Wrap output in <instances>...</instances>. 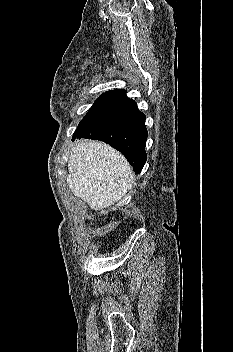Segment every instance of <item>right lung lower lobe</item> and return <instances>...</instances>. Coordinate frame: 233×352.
<instances>
[{
    "instance_id": "obj_1",
    "label": "right lung lower lobe",
    "mask_w": 233,
    "mask_h": 352,
    "mask_svg": "<svg viewBox=\"0 0 233 352\" xmlns=\"http://www.w3.org/2000/svg\"><path fill=\"white\" fill-rule=\"evenodd\" d=\"M80 138L101 140L114 147L126 157L136 174L146 162L145 115L132 99L113 106L73 134V140Z\"/></svg>"
}]
</instances>
